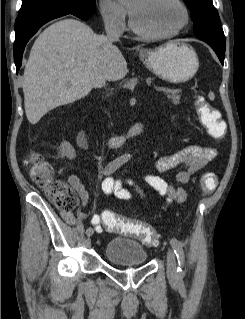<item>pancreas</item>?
Returning a JSON list of instances; mask_svg holds the SVG:
<instances>
[{
  "label": "pancreas",
  "mask_w": 245,
  "mask_h": 319,
  "mask_svg": "<svg viewBox=\"0 0 245 319\" xmlns=\"http://www.w3.org/2000/svg\"><path fill=\"white\" fill-rule=\"evenodd\" d=\"M165 95L170 99L175 105L180 103L181 96L179 95V90L171 89L169 92H165Z\"/></svg>",
  "instance_id": "pancreas-1"
}]
</instances>
